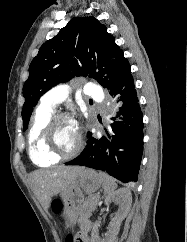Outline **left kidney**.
<instances>
[{
	"label": "left kidney",
	"mask_w": 187,
	"mask_h": 242,
	"mask_svg": "<svg viewBox=\"0 0 187 242\" xmlns=\"http://www.w3.org/2000/svg\"><path fill=\"white\" fill-rule=\"evenodd\" d=\"M111 202H116L119 205V210L116 213L113 222L109 225V231L105 235V238L101 239L99 236V224L95 223L91 233V242H114V239L120 230L121 222L130 210L132 204L131 191L126 188L114 191L105 198L106 205H109Z\"/></svg>",
	"instance_id": "left-kidney-1"
}]
</instances>
